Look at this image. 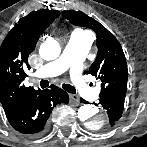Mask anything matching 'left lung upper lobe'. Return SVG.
<instances>
[{"label": "left lung upper lobe", "instance_id": "left-lung-upper-lobe-1", "mask_svg": "<svg viewBox=\"0 0 147 147\" xmlns=\"http://www.w3.org/2000/svg\"><path fill=\"white\" fill-rule=\"evenodd\" d=\"M72 24L92 29L97 35V57L89 73L101 81L99 97L127 90L128 69L122 47L115 36L103 25L83 12L63 11Z\"/></svg>", "mask_w": 147, "mask_h": 147}]
</instances>
